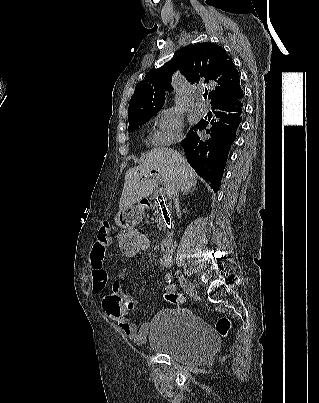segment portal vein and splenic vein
Returning <instances> with one entry per match:
<instances>
[{
  "instance_id": "18ae733b",
  "label": "portal vein and splenic vein",
  "mask_w": 319,
  "mask_h": 403,
  "mask_svg": "<svg viewBox=\"0 0 319 403\" xmlns=\"http://www.w3.org/2000/svg\"><path fill=\"white\" fill-rule=\"evenodd\" d=\"M158 182H159L160 184H162V182H163L162 178H159V179H158ZM165 191H166V189H165V188H163V187H162V188H160V193H161V194H164V193H165Z\"/></svg>"
}]
</instances>
